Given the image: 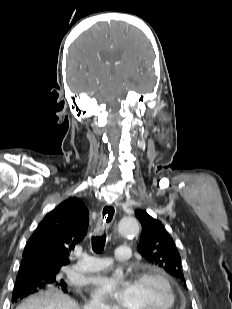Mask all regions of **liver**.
I'll return each mask as SVG.
<instances>
[{
	"instance_id": "obj_1",
	"label": "liver",
	"mask_w": 232,
	"mask_h": 309,
	"mask_svg": "<svg viewBox=\"0 0 232 309\" xmlns=\"http://www.w3.org/2000/svg\"><path fill=\"white\" fill-rule=\"evenodd\" d=\"M16 309H80L75 300L60 290L49 289L26 298Z\"/></svg>"
}]
</instances>
